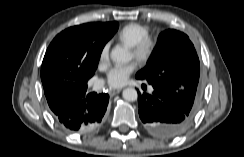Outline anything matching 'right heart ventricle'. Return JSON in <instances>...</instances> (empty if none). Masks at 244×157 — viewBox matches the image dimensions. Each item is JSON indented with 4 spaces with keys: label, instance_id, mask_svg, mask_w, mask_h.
I'll use <instances>...</instances> for the list:
<instances>
[{
    "label": "right heart ventricle",
    "instance_id": "1",
    "mask_svg": "<svg viewBox=\"0 0 244 157\" xmlns=\"http://www.w3.org/2000/svg\"><path fill=\"white\" fill-rule=\"evenodd\" d=\"M148 35V27L139 23H129L119 30L117 37L129 46H133Z\"/></svg>",
    "mask_w": 244,
    "mask_h": 157
}]
</instances>
